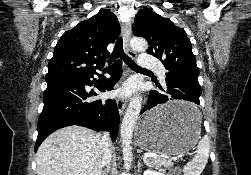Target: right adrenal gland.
Instances as JSON below:
<instances>
[{
  "label": "right adrenal gland",
  "mask_w": 251,
  "mask_h": 175,
  "mask_svg": "<svg viewBox=\"0 0 251 175\" xmlns=\"http://www.w3.org/2000/svg\"><path fill=\"white\" fill-rule=\"evenodd\" d=\"M109 173V165H106L104 173L102 175H108Z\"/></svg>",
  "instance_id": "1"
}]
</instances>
